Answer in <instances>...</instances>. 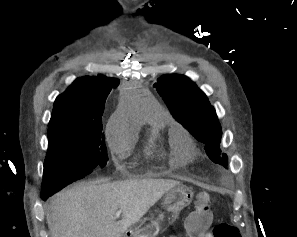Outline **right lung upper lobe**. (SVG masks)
Masks as SVG:
<instances>
[{
    "label": "right lung upper lobe",
    "instance_id": "right-lung-upper-lobe-1",
    "mask_svg": "<svg viewBox=\"0 0 297 237\" xmlns=\"http://www.w3.org/2000/svg\"><path fill=\"white\" fill-rule=\"evenodd\" d=\"M118 83L115 78L101 75L76 79L67 91L56 98L49 127L69 122L102 123L105 100Z\"/></svg>",
    "mask_w": 297,
    "mask_h": 237
}]
</instances>
